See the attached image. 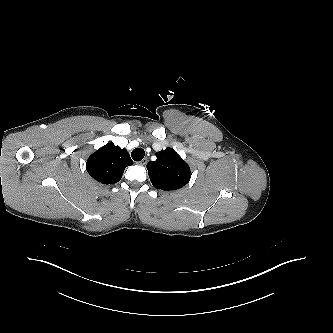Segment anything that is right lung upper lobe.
Instances as JSON below:
<instances>
[{
	"label": "right lung upper lobe",
	"instance_id": "obj_1",
	"mask_svg": "<svg viewBox=\"0 0 333 333\" xmlns=\"http://www.w3.org/2000/svg\"><path fill=\"white\" fill-rule=\"evenodd\" d=\"M132 164L126 150L108 143L89 157L86 170L98 182L113 184L121 179L124 169Z\"/></svg>",
	"mask_w": 333,
	"mask_h": 333
}]
</instances>
